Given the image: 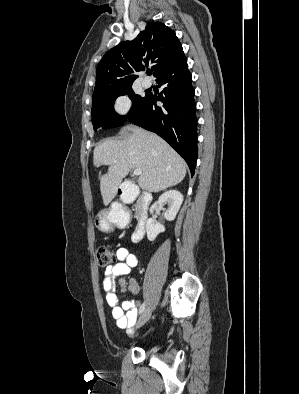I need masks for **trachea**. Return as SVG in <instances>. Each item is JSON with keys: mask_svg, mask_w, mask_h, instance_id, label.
<instances>
[{"mask_svg": "<svg viewBox=\"0 0 299 394\" xmlns=\"http://www.w3.org/2000/svg\"><path fill=\"white\" fill-rule=\"evenodd\" d=\"M147 74H148V75H151V74H152V71H148Z\"/></svg>", "mask_w": 299, "mask_h": 394, "instance_id": "1", "label": "trachea"}]
</instances>
